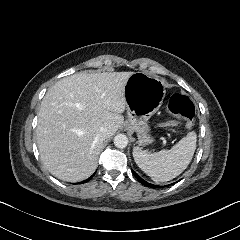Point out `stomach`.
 <instances>
[{
    "instance_id": "1",
    "label": "stomach",
    "mask_w": 240,
    "mask_h": 240,
    "mask_svg": "<svg viewBox=\"0 0 240 240\" xmlns=\"http://www.w3.org/2000/svg\"><path fill=\"white\" fill-rule=\"evenodd\" d=\"M166 95V80L145 72H134L125 85L128 127L134 129L141 143L150 142L148 119L161 107Z\"/></svg>"
}]
</instances>
